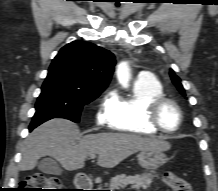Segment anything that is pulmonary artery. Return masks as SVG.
Returning <instances> with one entry per match:
<instances>
[{
  "label": "pulmonary artery",
  "instance_id": "1",
  "mask_svg": "<svg viewBox=\"0 0 218 191\" xmlns=\"http://www.w3.org/2000/svg\"><path fill=\"white\" fill-rule=\"evenodd\" d=\"M139 79L141 80H151L154 78L152 72L150 71H147V70H144V71H141L138 75Z\"/></svg>",
  "mask_w": 218,
  "mask_h": 191
}]
</instances>
